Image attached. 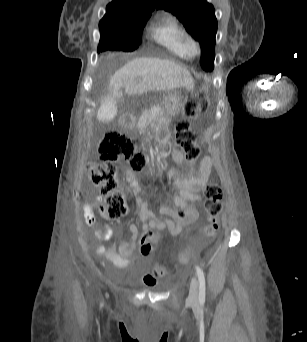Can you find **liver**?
Instances as JSON below:
<instances>
[{
  "label": "liver",
  "instance_id": "6515ba94",
  "mask_svg": "<svg viewBox=\"0 0 307 342\" xmlns=\"http://www.w3.org/2000/svg\"><path fill=\"white\" fill-rule=\"evenodd\" d=\"M121 88H124L121 90ZM193 90V78L180 64L160 58H136L113 74L109 82V95L137 96L157 90Z\"/></svg>",
  "mask_w": 307,
  "mask_h": 342
}]
</instances>
